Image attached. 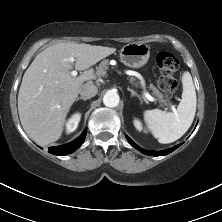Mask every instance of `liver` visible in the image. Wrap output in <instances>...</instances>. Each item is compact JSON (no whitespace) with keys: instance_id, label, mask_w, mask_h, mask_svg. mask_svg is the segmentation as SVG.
I'll list each match as a JSON object with an SVG mask.
<instances>
[{"instance_id":"obj_1","label":"liver","mask_w":222,"mask_h":222,"mask_svg":"<svg viewBox=\"0 0 222 222\" xmlns=\"http://www.w3.org/2000/svg\"><path fill=\"white\" fill-rule=\"evenodd\" d=\"M116 51L112 47L58 43L40 52L25 71L18 93V112L24 131L38 144L57 141L67 114L94 70L73 77L70 70L89 69ZM73 57L75 64L69 61Z\"/></svg>"}]
</instances>
